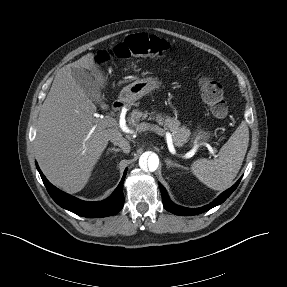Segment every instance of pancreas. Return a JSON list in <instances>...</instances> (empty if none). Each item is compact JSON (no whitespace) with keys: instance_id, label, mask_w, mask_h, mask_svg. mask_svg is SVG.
<instances>
[{"instance_id":"obj_1","label":"pancreas","mask_w":287,"mask_h":287,"mask_svg":"<svg viewBox=\"0 0 287 287\" xmlns=\"http://www.w3.org/2000/svg\"><path fill=\"white\" fill-rule=\"evenodd\" d=\"M150 115V119L155 120L159 125L163 126L166 130H169L172 133V138L176 146L180 147L188 141L190 136V130L186 126H181V123L177 118L170 117L166 114L155 112L147 113L142 112L138 109H135L131 112V117L129 119V124L132 127H135L136 130L144 131L140 129L142 123L141 120H145Z\"/></svg>"}]
</instances>
